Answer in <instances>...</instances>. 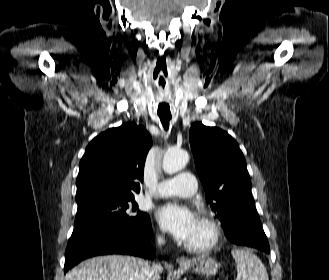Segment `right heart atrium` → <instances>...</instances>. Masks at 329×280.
Instances as JSON below:
<instances>
[{"label": "right heart atrium", "instance_id": "1", "mask_svg": "<svg viewBox=\"0 0 329 280\" xmlns=\"http://www.w3.org/2000/svg\"><path fill=\"white\" fill-rule=\"evenodd\" d=\"M159 237H160V238L162 237V232H161V233H159Z\"/></svg>", "mask_w": 329, "mask_h": 280}]
</instances>
